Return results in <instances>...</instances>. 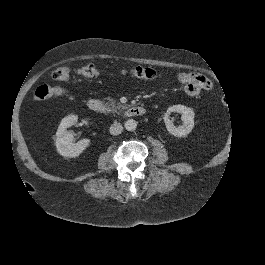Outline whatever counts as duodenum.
<instances>
[{
  "instance_id": "obj_1",
  "label": "duodenum",
  "mask_w": 265,
  "mask_h": 265,
  "mask_svg": "<svg viewBox=\"0 0 265 265\" xmlns=\"http://www.w3.org/2000/svg\"><path fill=\"white\" fill-rule=\"evenodd\" d=\"M87 106L88 108L93 111V112H97V113H101L104 111L105 107L104 104L96 99V98H90L87 101ZM146 113V110L144 107L142 106H133L131 108H129L126 111V116L128 117H138V116H142Z\"/></svg>"
}]
</instances>
